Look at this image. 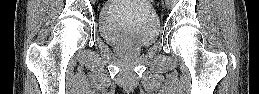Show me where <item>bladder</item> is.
Listing matches in <instances>:
<instances>
[{
	"label": "bladder",
	"instance_id": "1",
	"mask_svg": "<svg viewBox=\"0 0 259 94\" xmlns=\"http://www.w3.org/2000/svg\"><path fill=\"white\" fill-rule=\"evenodd\" d=\"M100 35L113 44L145 47L158 36V21L146 1L110 2L99 18Z\"/></svg>",
	"mask_w": 259,
	"mask_h": 94
}]
</instances>
